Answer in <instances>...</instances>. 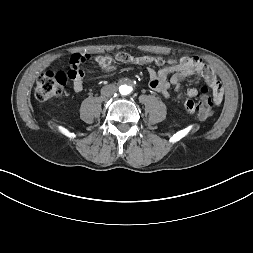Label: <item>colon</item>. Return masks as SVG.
Returning a JSON list of instances; mask_svg holds the SVG:
<instances>
[{"label": "colon", "instance_id": "colon-1", "mask_svg": "<svg viewBox=\"0 0 253 253\" xmlns=\"http://www.w3.org/2000/svg\"><path fill=\"white\" fill-rule=\"evenodd\" d=\"M84 62L80 61L76 64L71 63L70 66L63 71H47L39 76L36 81L34 95L39 101H47L60 95L68 80H71L72 88L82 91L85 88L81 82L80 74H83L82 67ZM197 101V114L200 119H207L213 112V99L208 93L206 86L201 88V95Z\"/></svg>", "mask_w": 253, "mask_h": 253}]
</instances>
